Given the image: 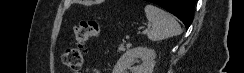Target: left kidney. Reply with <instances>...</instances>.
Wrapping results in <instances>:
<instances>
[{"label": "left kidney", "instance_id": "1", "mask_svg": "<svg viewBox=\"0 0 244 73\" xmlns=\"http://www.w3.org/2000/svg\"><path fill=\"white\" fill-rule=\"evenodd\" d=\"M156 53L147 47H136L127 50L117 61L113 73H152L155 66ZM142 63L132 66L134 62Z\"/></svg>", "mask_w": 244, "mask_h": 73}]
</instances>
